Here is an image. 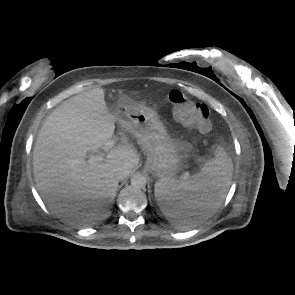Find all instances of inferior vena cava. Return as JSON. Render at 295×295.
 <instances>
[{"label":"inferior vena cava","mask_w":295,"mask_h":295,"mask_svg":"<svg viewBox=\"0 0 295 295\" xmlns=\"http://www.w3.org/2000/svg\"><path fill=\"white\" fill-rule=\"evenodd\" d=\"M116 175L118 180H123L124 178L127 177L128 173L124 168H118Z\"/></svg>","instance_id":"602c4592"}]
</instances>
